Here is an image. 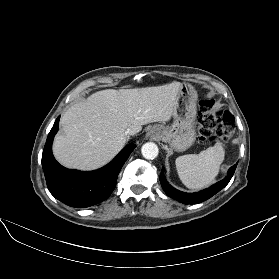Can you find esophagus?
Returning <instances> with one entry per match:
<instances>
[{"mask_svg": "<svg viewBox=\"0 0 279 279\" xmlns=\"http://www.w3.org/2000/svg\"><path fill=\"white\" fill-rule=\"evenodd\" d=\"M147 136L154 137V135H152L151 133H148Z\"/></svg>", "mask_w": 279, "mask_h": 279, "instance_id": "34e87169", "label": "esophagus"}]
</instances>
